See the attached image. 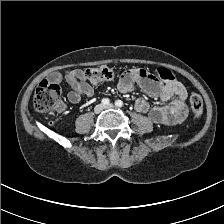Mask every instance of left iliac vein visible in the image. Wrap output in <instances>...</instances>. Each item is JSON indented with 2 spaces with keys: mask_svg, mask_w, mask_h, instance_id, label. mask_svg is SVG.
Here are the masks:
<instances>
[{
  "mask_svg": "<svg viewBox=\"0 0 224 224\" xmlns=\"http://www.w3.org/2000/svg\"><path fill=\"white\" fill-rule=\"evenodd\" d=\"M113 107H114L113 104H108V105L104 106L105 109H109V108H113Z\"/></svg>",
  "mask_w": 224,
  "mask_h": 224,
  "instance_id": "1",
  "label": "left iliac vein"
}]
</instances>
